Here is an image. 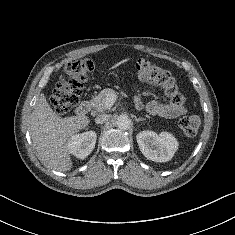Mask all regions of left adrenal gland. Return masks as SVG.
Masks as SVG:
<instances>
[{"instance_id":"a2214340","label":"left adrenal gland","mask_w":235,"mask_h":235,"mask_svg":"<svg viewBox=\"0 0 235 235\" xmlns=\"http://www.w3.org/2000/svg\"><path fill=\"white\" fill-rule=\"evenodd\" d=\"M145 118H135V121L139 122V121H144Z\"/></svg>"}]
</instances>
